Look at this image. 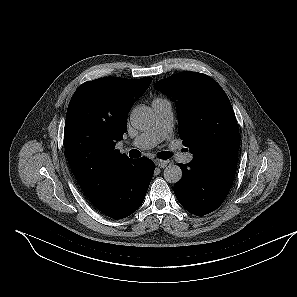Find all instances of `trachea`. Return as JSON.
<instances>
[{
	"label": "trachea",
	"instance_id": "3493384b",
	"mask_svg": "<svg viewBox=\"0 0 297 297\" xmlns=\"http://www.w3.org/2000/svg\"><path fill=\"white\" fill-rule=\"evenodd\" d=\"M129 156L130 158H138L141 156V153L136 149H132L129 151ZM171 156H172V153L169 151H163L157 154V157L159 159H169Z\"/></svg>",
	"mask_w": 297,
	"mask_h": 297
}]
</instances>
